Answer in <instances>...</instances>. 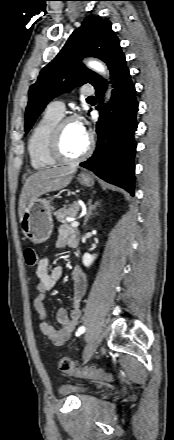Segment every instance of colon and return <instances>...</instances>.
<instances>
[{
    "instance_id": "1",
    "label": "colon",
    "mask_w": 174,
    "mask_h": 440,
    "mask_svg": "<svg viewBox=\"0 0 174 440\" xmlns=\"http://www.w3.org/2000/svg\"><path fill=\"white\" fill-rule=\"evenodd\" d=\"M24 259L28 267L34 268L38 265L36 251L33 248L24 249ZM59 369L67 374L85 377L100 381H112L113 376L102 370L91 367H79L70 358L63 357L59 361Z\"/></svg>"
}]
</instances>
